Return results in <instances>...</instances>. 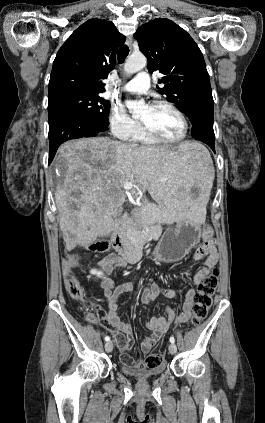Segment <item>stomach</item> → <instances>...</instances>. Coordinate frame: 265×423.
I'll list each match as a JSON object with an SVG mask.
<instances>
[{
	"mask_svg": "<svg viewBox=\"0 0 265 423\" xmlns=\"http://www.w3.org/2000/svg\"><path fill=\"white\" fill-rule=\"evenodd\" d=\"M199 145V144H198ZM192 156L189 160L202 163L205 177L201 183H195L193 186L201 191L211 176V157L205 147L199 145L195 151H191ZM195 202V201H194ZM200 240V224L189 217H185L176 222L174 227L168 228L162 235L160 241L153 251L155 260L164 263H171L181 260Z\"/></svg>",
	"mask_w": 265,
	"mask_h": 423,
	"instance_id": "0dacf381",
	"label": "stomach"
}]
</instances>
